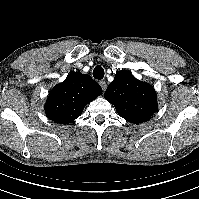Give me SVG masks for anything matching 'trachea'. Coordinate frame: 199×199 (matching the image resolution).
<instances>
[{"label": "trachea", "instance_id": "3493384b", "mask_svg": "<svg viewBox=\"0 0 199 199\" xmlns=\"http://www.w3.org/2000/svg\"><path fill=\"white\" fill-rule=\"evenodd\" d=\"M93 77L95 79L101 80L104 77V69L100 66L97 65L94 70H93Z\"/></svg>", "mask_w": 199, "mask_h": 199}]
</instances>
